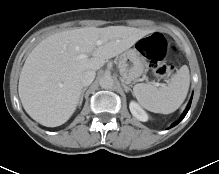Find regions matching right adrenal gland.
Wrapping results in <instances>:
<instances>
[{
    "mask_svg": "<svg viewBox=\"0 0 219 174\" xmlns=\"http://www.w3.org/2000/svg\"><path fill=\"white\" fill-rule=\"evenodd\" d=\"M87 86L83 88L82 92H81V95H80V102L79 104L81 105L82 104V101H83V96H84V92L87 90Z\"/></svg>",
    "mask_w": 219,
    "mask_h": 174,
    "instance_id": "1",
    "label": "right adrenal gland"
}]
</instances>
